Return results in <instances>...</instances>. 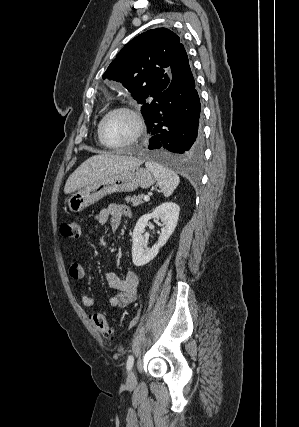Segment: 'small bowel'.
Here are the masks:
<instances>
[{
    "instance_id": "c3829d8e",
    "label": "small bowel",
    "mask_w": 299,
    "mask_h": 427,
    "mask_svg": "<svg viewBox=\"0 0 299 427\" xmlns=\"http://www.w3.org/2000/svg\"><path fill=\"white\" fill-rule=\"evenodd\" d=\"M131 211L126 205L111 203L106 208L98 212L94 218L98 225L111 223L113 230H116L124 217H130ZM69 274L74 280H82L86 274V265L82 260L75 261L70 265ZM108 284L118 291L117 294L107 299V304L113 308L121 309L131 304L137 297L140 276L136 271H129L124 278L114 273L107 275ZM82 304L91 308L94 304L93 297L88 292L81 294Z\"/></svg>"
}]
</instances>
